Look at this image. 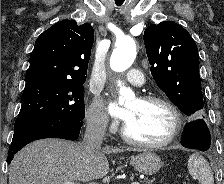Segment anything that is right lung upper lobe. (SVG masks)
Wrapping results in <instances>:
<instances>
[{"mask_svg": "<svg viewBox=\"0 0 224 184\" xmlns=\"http://www.w3.org/2000/svg\"><path fill=\"white\" fill-rule=\"evenodd\" d=\"M94 30L89 23L63 20L35 41L26 84L35 81L85 82Z\"/></svg>", "mask_w": 224, "mask_h": 184, "instance_id": "cb5924a9", "label": "right lung upper lobe"}]
</instances>
